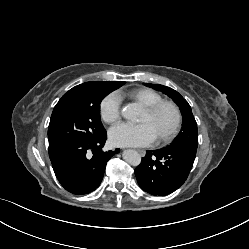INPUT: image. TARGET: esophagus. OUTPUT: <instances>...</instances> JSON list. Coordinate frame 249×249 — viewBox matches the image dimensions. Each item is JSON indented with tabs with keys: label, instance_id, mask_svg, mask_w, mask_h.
Instances as JSON below:
<instances>
[{
	"label": "esophagus",
	"instance_id": "esophagus-1",
	"mask_svg": "<svg viewBox=\"0 0 249 249\" xmlns=\"http://www.w3.org/2000/svg\"><path fill=\"white\" fill-rule=\"evenodd\" d=\"M141 155H144L145 154V151L144 150H137Z\"/></svg>",
	"mask_w": 249,
	"mask_h": 249
}]
</instances>
